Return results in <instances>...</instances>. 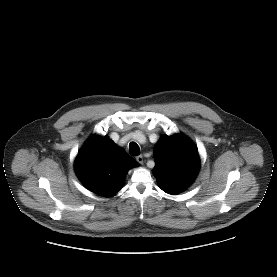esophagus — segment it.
Listing matches in <instances>:
<instances>
[{"mask_svg":"<svg viewBox=\"0 0 277 277\" xmlns=\"http://www.w3.org/2000/svg\"><path fill=\"white\" fill-rule=\"evenodd\" d=\"M136 160L138 163L143 164V161H144L143 156H141V155L137 156Z\"/></svg>","mask_w":277,"mask_h":277,"instance_id":"esophagus-1","label":"esophagus"}]
</instances>
